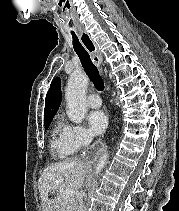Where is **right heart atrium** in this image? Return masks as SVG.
Masks as SVG:
<instances>
[{"mask_svg":"<svg viewBox=\"0 0 179 211\" xmlns=\"http://www.w3.org/2000/svg\"><path fill=\"white\" fill-rule=\"evenodd\" d=\"M65 136L74 150L82 148L90 143L91 135L83 126L68 124L65 127Z\"/></svg>","mask_w":179,"mask_h":211,"instance_id":"d8ad5b80","label":"right heart atrium"}]
</instances>
